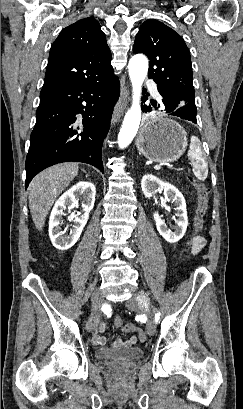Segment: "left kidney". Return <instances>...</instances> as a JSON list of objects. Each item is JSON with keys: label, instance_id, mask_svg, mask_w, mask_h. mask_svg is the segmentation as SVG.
Instances as JSON below:
<instances>
[{"label": "left kidney", "instance_id": "1", "mask_svg": "<svg viewBox=\"0 0 243 409\" xmlns=\"http://www.w3.org/2000/svg\"><path fill=\"white\" fill-rule=\"evenodd\" d=\"M141 188L147 198H151L159 190H163L165 199L175 205L177 220L176 226L174 227V232L168 229L167 225L163 220H161L158 213L155 212L153 217L160 235L169 243L178 242L184 236L188 226L186 202L181 192L170 183L164 182L156 176L150 174L143 176Z\"/></svg>", "mask_w": 243, "mask_h": 409}]
</instances>
